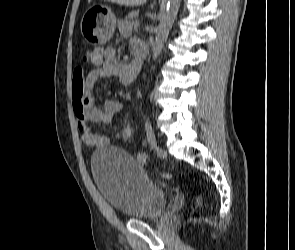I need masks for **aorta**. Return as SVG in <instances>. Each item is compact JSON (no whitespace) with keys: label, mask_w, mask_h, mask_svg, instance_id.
<instances>
[{"label":"aorta","mask_w":295,"mask_h":250,"mask_svg":"<svg viewBox=\"0 0 295 250\" xmlns=\"http://www.w3.org/2000/svg\"><path fill=\"white\" fill-rule=\"evenodd\" d=\"M181 0H168L167 8L161 17L159 26L156 30L155 42L152 50V57L155 60L161 53L166 42L169 31L177 16Z\"/></svg>","instance_id":"aorta-1"}]
</instances>
